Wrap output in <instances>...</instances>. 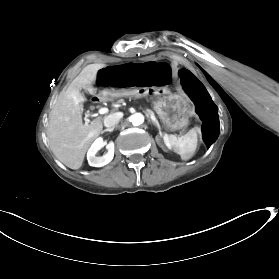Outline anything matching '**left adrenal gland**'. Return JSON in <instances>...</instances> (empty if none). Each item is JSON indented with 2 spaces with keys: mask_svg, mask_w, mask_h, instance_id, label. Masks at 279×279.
<instances>
[{
  "mask_svg": "<svg viewBox=\"0 0 279 279\" xmlns=\"http://www.w3.org/2000/svg\"><path fill=\"white\" fill-rule=\"evenodd\" d=\"M152 122H153V124H155V125L157 126V128H158L159 132H161V126H160V124H159L158 120H157V119H155V120H152Z\"/></svg>",
  "mask_w": 279,
  "mask_h": 279,
  "instance_id": "a2214340",
  "label": "left adrenal gland"
}]
</instances>
